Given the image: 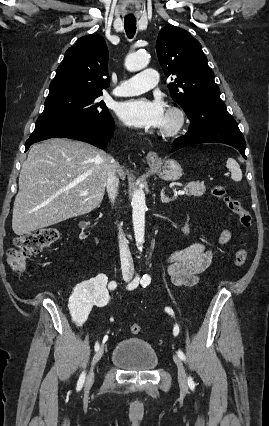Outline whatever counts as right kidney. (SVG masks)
<instances>
[{
  "mask_svg": "<svg viewBox=\"0 0 269 426\" xmlns=\"http://www.w3.org/2000/svg\"><path fill=\"white\" fill-rule=\"evenodd\" d=\"M90 222H80L79 226L82 232L79 234L80 240H85L84 230L87 229ZM103 273H97L95 279L84 281L78 284L71 297L69 298V308L75 313L81 315V321H85L93 307L95 310H103L111 301L109 295L108 283Z\"/></svg>",
  "mask_w": 269,
  "mask_h": 426,
  "instance_id": "right-kidney-1",
  "label": "right kidney"
}]
</instances>
